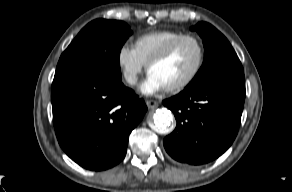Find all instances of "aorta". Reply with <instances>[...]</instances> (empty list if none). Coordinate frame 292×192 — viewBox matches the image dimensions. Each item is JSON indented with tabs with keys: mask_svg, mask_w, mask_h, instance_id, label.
I'll list each match as a JSON object with an SVG mask.
<instances>
[{
	"mask_svg": "<svg viewBox=\"0 0 292 192\" xmlns=\"http://www.w3.org/2000/svg\"><path fill=\"white\" fill-rule=\"evenodd\" d=\"M172 120L173 115L171 111L167 109H158L153 115L155 130L162 134L170 132L169 127L172 123Z\"/></svg>",
	"mask_w": 292,
	"mask_h": 192,
	"instance_id": "762f6f07",
	"label": "aorta"
}]
</instances>
